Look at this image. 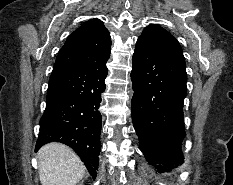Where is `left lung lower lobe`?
<instances>
[{
    "label": "left lung lower lobe",
    "mask_w": 233,
    "mask_h": 185,
    "mask_svg": "<svg viewBox=\"0 0 233 185\" xmlns=\"http://www.w3.org/2000/svg\"><path fill=\"white\" fill-rule=\"evenodd\" d=\"M132 121L148 162L164 172L184 162V58L138 38L132 58Z\"/></svg>",
    "instance_id": "left-lung-lower-lobe-1"
}]
</instances>
